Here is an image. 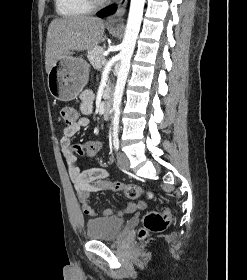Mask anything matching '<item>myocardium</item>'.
Wrapping results in <instances>:
<instances>
[{
    "label": "myocardium",
    "mask_w": 247,
    "mask_h": 280,
    "mask_svg": "<svg viewBox=\"0 0 247 280\" xmlns=\"http://www.w3.org/2000/svg\"><path fill=\"white\" fill-rule=\"evenodd\" d=\"M92 6H99L102 5L107 0H88Z\"/></svg>",
    "instance_id": "obj_1"
}]
</instances>
